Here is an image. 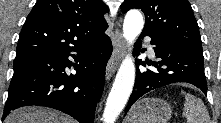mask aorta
<instances>
[{
	"mask_svg": "<svg viewBox=\"0 0 221 123\" xmlns=\"http://www.w3.org/2000/svg\"><path fill=\"white\" fill-rule=\"evenodd\" d=\"M144 26L142 14L137 10L127 12L123 23V36L131 46ZM135 81V65L130 54L122 61L108 95L104 109V123H114L132 92Z\"/></svg>",
	"mask_w": 221,
	"mask_h": 123,
	"instance_id": "1",
	"label": "aorta"
}]
</instances>
